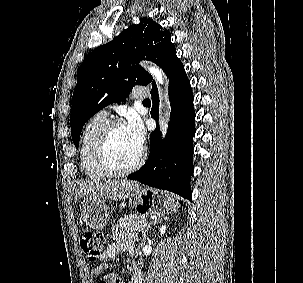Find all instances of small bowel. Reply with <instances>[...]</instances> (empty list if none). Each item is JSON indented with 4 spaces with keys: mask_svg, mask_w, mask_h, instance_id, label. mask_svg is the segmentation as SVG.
<instances>
[{
    "mask_svg": "<svg viewBox=\"0 0 303 283\" xmlns=\"http://www.w3.org/2000/svg\"><path fill=\"white\" fill-rule=\"evenodd\" d=\"M116 241L109 244L107 249L102 253L101 259L103 261H108L124 252H129L133 254L134 238L130 234L125 233H115ZM102 272V266H96L92 269V276L96 277ZM117 283H123L122 278L115 276ZM141 283L142 272L140 267L133 262V274L127 283Z\"/></svg>",
    "mask_w": 303,
    "mask_h": 283,
    "instance_id": "small-bowel-1",
    "label": "small bowel"
}]
</instances>
